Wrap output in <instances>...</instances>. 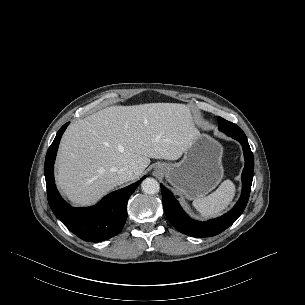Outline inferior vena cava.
Wrapping results in <instances>:
<instances>
[{"instance_id":"602c4592","label":"inferior vena cava","mask_w":305,"mask_h":305,"mask_svg":"<svg viewBox=\"0 0 305 305\" xmlns=\"http://www.w3.org/2000/svg\"><path fill=\"white\" fill-rule=\"evenodd\" d=\"M133 174V168L132 167H123L118 171V175L122 182H127L130 180L131 176Z\"/></svg>"}]
</instances>
